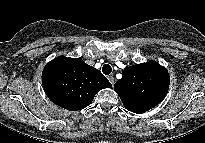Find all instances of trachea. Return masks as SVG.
Listing matches in <instances>:
<instances>
[{"instance_id":"3493384b","label":"trachea","mask_w":205,"mask_h":143,"mask_svg":"<svg viewBox=\"0 0 205 143\" xmlns=\"http://www.w3.org/2000/svg\"><path fill=\"white\" fill-rule=\"evenodd\" d=\"M112 71V68L109 64H105L103 67H102V72L105 74V75H109Z\"/></svg>"}]
</instances>
